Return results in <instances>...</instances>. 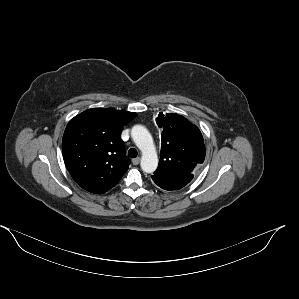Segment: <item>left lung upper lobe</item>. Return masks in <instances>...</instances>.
Here are the masks:
<instances>
[{
	"mask_svg": "<svg viewBox=\"0 0 299 299\" xmlns=\"http://www.w3.org/2000/svg\"><path fill=\"white\" fill-rule=\"evenodd\" d=\"M157 124L163 132L160 161L154 174L196 173L205 159L204 140L198 127L175 113H160Z\"/></svg>",
	"mask_w": 299,
	"mask_h": 299,
	"instance_id": "5c2ea615",
	"label": "left lung upper lobe"
}]
</instances>
